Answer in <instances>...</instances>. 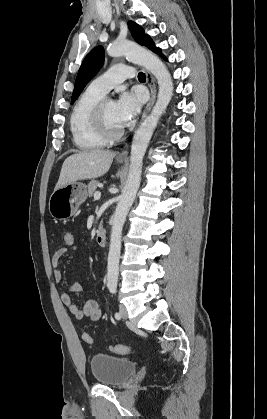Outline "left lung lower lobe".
Returning <instances> with one entry per match:
<instances>
[{
  "instance_id": "obj_1",
  "label": "left lung lower lobe",
  "mask_w": 267,
  "mask_h": 419,
  "mask_svg": "<svg viewBox=\"0 0 267 419\" xmlns=\"http://www.w3.org/2000/svg\"><path fill=\"white\" fill-rule=\"evenodd\" d=\"M159 55H161V57L164 59V60H166V57L165 56H163L161 53H160V51H158L157 52Z\"/></svg>"
}]
</instances>
